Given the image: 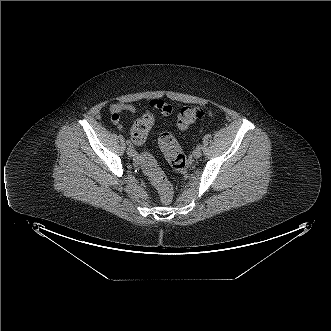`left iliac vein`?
<instances>
[{
  "mask_svg": "<svg viewBox=\"0 0 331 331\" xmlns=\"http://www.w3.org/2000/svg\"><path fill=\"white\" fill-rule=\"evenodd\" d=\"M201 149H198V148H195L194 149V151H193V157L195 158V159H198V158H200L201 157Z\"/></svg>",
  "mask_w": 331,
  "mask_h": 331,
  "instance_id": "4c4485c4",
  "label": "left iliac vein"
}]
</instances>
